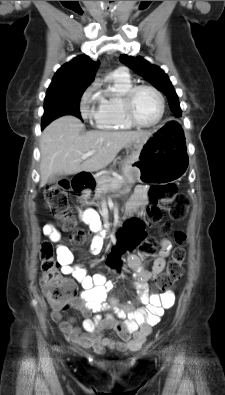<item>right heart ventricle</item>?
<instances>
[{
	"label": "right heart ventricle",
	"instance_id": "e07e8e85",
	"mask_svg": "<svg viewBox=\"0 0 225 395\" xmlns=\"http://www.w3.org/2000/svg\"><path fill=\"white\" fill-rule=\"evenodd\" d=\"M105 86L96 93L98 109L95 125L102 130H128L134 127L124 117L122 98L133 86L129 75L110 73L105 79Z\"/></svg>",
	"mask_w": 225,
	"mask_h": 395
}]
</instances>
